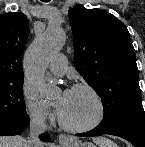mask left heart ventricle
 Listing matches in <instances>:
<instances>
[{"label": "left heart ventricle", "mask_w": 145, "mask_h": 147, "mask_svg": "<svg viewBox=\"0 0 145 147\" xmlns=\"http://www.w3.org/2000/svg\"><path fill=\"white\" fill-rule=\"evenodd\" d=\"M96 114L95 100L87 91L71 90L60 115L70 125H84L92 121Z\"/></svg>", "instance_id": "obj_1"}]
</instances>
